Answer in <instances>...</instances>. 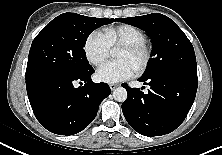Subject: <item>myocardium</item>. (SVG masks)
<instances>
[{"mask_svg":"<svg viewBox=\"0 0 222 155\" xmlns=\"http://www.w3.org/2000/svg\"><path fill=\"white\" fill-rule=\"evenodd\" d=\"M120 49L142 56V60L135 70L137 74H142L147 70L152 59V50L146 42L123 45Z\"/></svg>","mask_w":222,"mask_h":155,"instance_id":"obj_1","label":"myocardium"}]
</instances>
